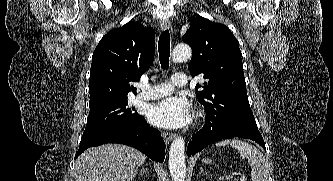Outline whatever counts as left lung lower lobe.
Masks as SVG:
<instances>
[{"label":"left lung lower lobe","mask_w":333,"mask_h":181,"mask_svg":"<svg viewBox=\"0 0 333 181\" xmlns=\"http://www.w3.org/2000/svg\"><path fill=\"white\" fill-rule=\"evenodd\" d=\"M233 137L254 140L266 150L258 128L237 121L226 113L207 112L205 126L192 136L187 147V155H194L213 142Z\"/></svg>","instance_id":"obj_1"}]
</instances>
